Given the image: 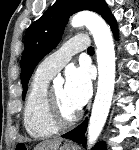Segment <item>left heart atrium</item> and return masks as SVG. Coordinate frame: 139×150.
<instances>
[{
  "label": "left heart atrium",
  "instance_id": "left-heart-atrium-1",
  "mask_svg": "<svg viewBox=\"0 0 139 150\" xmlns=\"http://www.w3.org/2000/svg\"><path fill=\"white\" fill-rule=\"evenodd\" d=\"M64 90L68 101L79 110L92 93L90 73L85 67L71 68L66 73Z\"/></svg>",
  "mask_w": 139,
  "mask_h": 150
}]
</instances>
